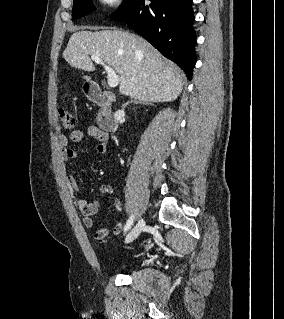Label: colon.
Returning a JSON list of instances; mask_svg holds the SVG:
<instances>
[{
    "label": "colon",
    "mask_w": 284,
    "mask_h": 319,
    "mask_svg": "<svg viewBox=\"0 0 284 319\" xmlns=\"http://www.w3.org/2000/svg\"><path fill=\"white\" fill-rule=\"evenodd\" d=\"M58 117L61 127L64 131L72 130L77 125V117L75 112L65 106L59 107Z\"/></svg>",
    "instance_id": "colon-1"
}]
</instances>
